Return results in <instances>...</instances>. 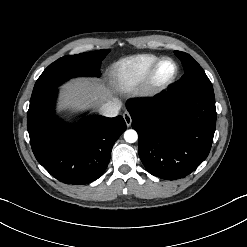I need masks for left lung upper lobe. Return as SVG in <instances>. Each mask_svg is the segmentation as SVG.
<instances>
[{"instance_id":"1","label":"left lung upper lobe","mask_w":247,"mask_h":247,"mask_svg":"<svg viewBox=\"0 0 247 247\" xmlns=\"http://www.w3.org/2000/svg\"><path fill=\"white\" fill-rule=\"evenodd\" d=\"M174 53L182 61L184 75L171 88L173 92L213 91L212 83L204 70L189 54L180 51Z\"/></svg>"}]
</instances>
